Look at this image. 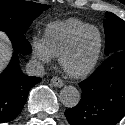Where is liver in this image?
<instances>
[{
  "label": "liver",
  "instance_id": "1",
  "mask_svg": "<svg viewBox=\"0 0 125 125\" xmlns=\"http://www.w3.org/2000/svg\"><path fill=\"white\" fill-rule=\"evenodd\" d=\"M11 55V45L4 32H0V72L7 65Z\"/></svg>",
  "mask_w": 125,
  "mask_h": 125
}]
</instances>
